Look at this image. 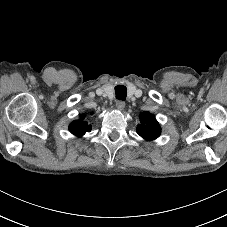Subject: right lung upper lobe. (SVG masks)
Returning a JSON list of instances; mask_svg holds the SVG:
<instances>
[{"label": "right lung upper lobe", "instance_id": "right-lung-upper-lobe-1", "mask_svg": "<svg viewBox=\"0 0 227 227\" xmlns=\"http://www.w3.org/2000/svg\"><path fill=\"white\" fill-rule=\"evenodd\" d=\"M81 119L85 118V115H80ZM91 129V125H88L83 120L74 121L70 124L69 130L76 136H83L86 132Z\"/></svg>", "mask_w": 227, "mask_h": 227}]
</instances>
